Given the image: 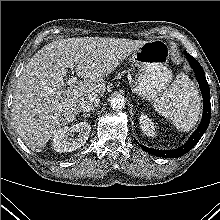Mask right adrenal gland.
<instances>
[{
    "label": "right adrenal gland",
    "mask_w": 220,
    "mask_h": 220,
    "mask_svg": "<svg viewBox=\"0 0 220 220\" xmlns=\"http://www.w3.org/2000/svg\"><path fill=\"white\" fill-rule=\"evenodd\" d=\"M83 117H90V114H85V113H83V115H82Z\"/></svg>",
    "instance_id": "2a0ac1e0"
}]
</instances>
